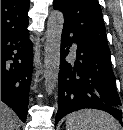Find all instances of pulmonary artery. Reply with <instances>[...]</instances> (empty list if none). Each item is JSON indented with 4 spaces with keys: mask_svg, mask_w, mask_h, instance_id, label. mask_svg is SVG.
<instances>
[{
    "mask_svg": "<svg viewBox=\"0 0 123 130\" xmlns=\"http://www.w3.org/2000/svg\"><path fill=\"white\" fill-rule=\"evenodd\" d=\"M72 48H73V50H75L76 49V44H73Z\"/></svg>",
    "mask_w": 123,
    "mask_h": 130,
    "instance_id": "obj_1",
    "label": "pulmonary artery"
}]
</instances>
